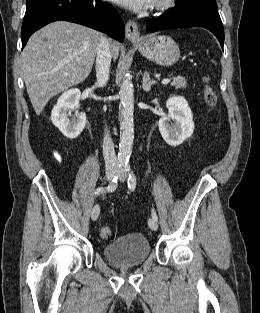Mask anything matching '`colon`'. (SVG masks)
Segmentation results:
<instances>
[{
    "label": "colon",
    "mask_w": 260,
    "mask_h": 313,
    "mask_svg": "<svg viewBox=\"0 0 260 313\" xmlns=\"http://www.w3.org/2000/svg\"><path fill=\"white\" fill-rule=\"evenodd\" d=\"M203 89H204V97L206 100V103L209 106H215L217 103V96L213 90V88L209 85L208 79L203 80ZM99 235L102 239L105 240H112L113 239V233L109 226L107 225H101L99 227Z\"/></svg>",
    "instance_id": "1"
}]
</instances>
